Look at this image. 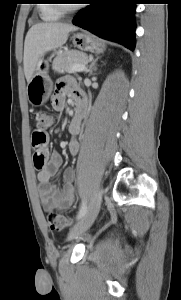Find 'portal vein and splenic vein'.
Returning a JSON list of instances; mask_svg holds the SVG:
<instances>
[{
	"label": "portal vein and splenic vein",
	"instance_id": "portal-vein-and-splenic-vein-1",
	"mask_svg": "<svg viewBox=\"0 0 181 300\" xmlns=\"http://www.w3.org/2000/svg\"><path fill=\"white\" fill-rule=\"evenodd\" d=\"M86 69L85 64H75L72 67V72L71 73H75V72H82Z\"/></svg>",
	"mask_w": 181,
	"mask_h": 300
}]
</instances>
